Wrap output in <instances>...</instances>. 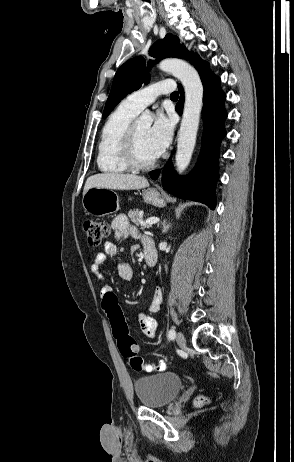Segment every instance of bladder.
<instances>
[{
	"mask_svg": "<svg viewBox=\"0 0 294 462\" xmlns=\"http://www.w3.org/2000/svg\"><path fill=\"white\" fill-rule=\"evenodd\" d=\"M184 385L183 379L169 372H161L134 381V390L140 403L149 408L170 405L178 397Z\"/></svg>",
	"mask_w": 294,
	"mask_h": 462,
	"instance_id": "1",
	"label": "bladder"
}]
</instances>
